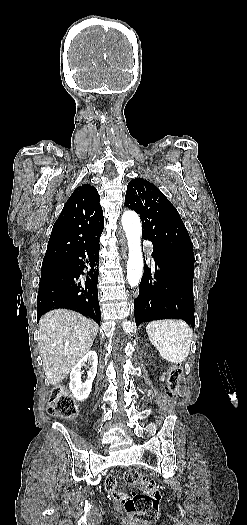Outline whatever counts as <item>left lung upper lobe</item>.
Instances as JSON below:
<instances>
[{"label": "left lung upper lobe", "instance_id": "left-lung-upper-lobe-1", "mask_svg": "<svg viewBox=\"0 0 247 525\" xmlns=\"http://www.w3.org/2000/svg\"><path fill=\"white\" fill-rule=\"evenodd\" d=\"M125 203L140 215L142 236L154 239L167 253L194 266L193 246L187 229L177 209L155 185L142 178L130 181Z\"/></svg>", "mask_w": 247, "mask_h": 525}]
</instances>
